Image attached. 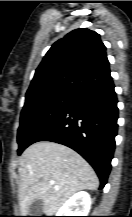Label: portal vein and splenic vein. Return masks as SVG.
I'll list each match as a JSON object with an SVG mask.
<instances>
[{
    "label": "portal vein and splenic vein",
    "instance_id": "portal-vein-and-splenic-vein-1",
    "mask_svg": "<svg viewBox=\"0 0 132 217\" xmlns=\"http://www.w3.org/2000/svg\"><path fill=\"white\" fill-rule=\"evenodd\" d=\"M51 184H54V181H50Z\"/></svg>",
    "mask_w": 132,
    "mask_h": 217
}]
</instances>
